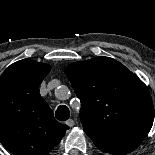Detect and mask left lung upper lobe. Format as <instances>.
Instances as JSON below:
<instances>
[{
	"label": "left lung upper lobe",
	"instance_id": "obj_1",
	"mask_svg": "<svg viewBox=\"0 0 155 155\" xmlns=\"http://www.w3.org/2000/svg\"><path fill=\"white\" fill-rule=\"evenodd\" d=\"M66 75L81 100L83 130L93 142L146 137L154 121L147 86L120 62L95 57L72 63Z\"/></svg>",
	"mask_w": 155,
	"mask_h": 155
}]
</instances>
